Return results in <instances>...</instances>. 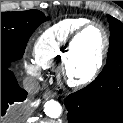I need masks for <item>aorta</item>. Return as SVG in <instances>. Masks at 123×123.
Listing matches in <instances>:
<instances>
[{
	"label": "aorta",
	"mask_w": 123,
	"mask_h": 123,
	"mask_svg": "<svg viewBox=\"0 0 123 123\" xmlns=\"http://www.w3.org/2000/svg\"><path fill=\"white\" fill-rule=\"evenodd\" d=\"M44 112L50 118H58L62 113V107L58 101L48 100L44 104Z\"/></svg>",
	"instance_id": "obj_1"
}]
</instances>
